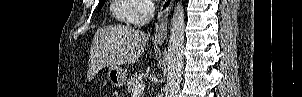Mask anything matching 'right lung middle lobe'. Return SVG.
Returning a JSON list of instances; mask_svg holds the SVG:
<instances>
[{
    "label": "right lung middle lobe",
    "mask_w": 302,
    "mask_h": 97,
    "mask_svg": "<svg viewBox=\"0 0 302 97\" xmlns=\"http://www.w3.org/2000/svg\"><path fill=\"white\" fill-rule=\"evenodd\" d=\"M104 3H105V0L99 1L98 10H100L103 7Z\"/></svg>",
    "instance_id": "1"
}]
</instances>
